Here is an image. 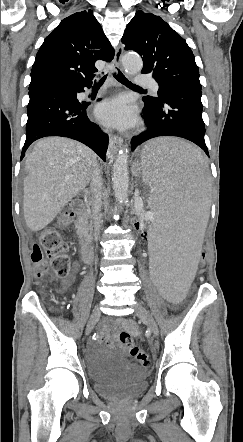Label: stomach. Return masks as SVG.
<instances>
[{"mask_svg": "<svg viewBox=\"0 0 243 442\" xmlns=\"http://www.w3.org/2000/svg\"><path fill=\"white\" fill-rule=\"evenodd\" d=\"M160 139V138H159ZM137 165H141V163L140 162H135L134 163V165H133V173L135 174V171H136V167H137Z\"/></svg>", "mask_w": 243, "mask_h": 442, "instance_id": "0dacf381", "label": "stomach"}]
</instances>
